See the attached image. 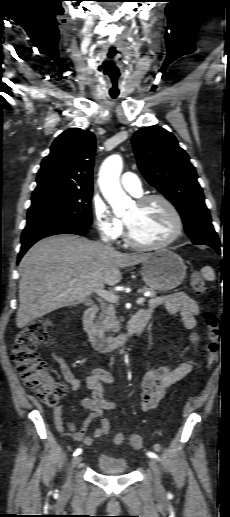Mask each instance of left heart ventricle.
<instances>
[{
  "label": "left heart ventricle",
  "mask_w": 230,
  "mask_h": 517,
  "mask_svg": "<svg viewBox=\"0 0 230 517\" xmlns=\"http://www.w3.org/2000/svg\"><path fill=\"white\" fill-rule=\"evenodd\" d=\"M133 237L142 243H158L169 237L175 227L173 217L160 201L133 205L124 215Z\"/></svg>",
  "instance_id": "1"
}]
</instances>
